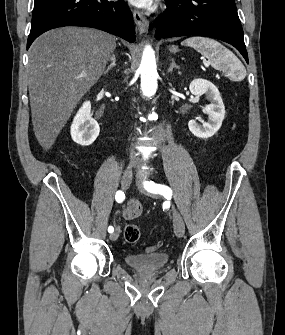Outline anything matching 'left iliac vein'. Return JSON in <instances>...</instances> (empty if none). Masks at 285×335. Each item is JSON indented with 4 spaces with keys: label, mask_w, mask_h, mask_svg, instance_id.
Here are the masks:
<instances>
[{
    "label": "left iliac vein",
    "mask_w": 285,
    "mask_h": 335,
    "mask_svg": "<svg viewBox=\"0 0 285 335\" xmlns=\"http://www.w3.org/2000/svg\"><path fill=\"white\" fill-rule=\"evenodd\" d=\"M145 181L143 179H140L137 181V187L138 190L143 193L145 192L143 184ZM173 225H174V232L178 237H183L185 233V224L181 217V215L173 209Z\"/></svg>",
    "instance_id": "1"
}]
</instances>
